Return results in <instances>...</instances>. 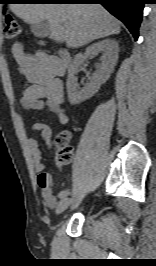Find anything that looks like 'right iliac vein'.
<instances>
[{
	"label": "right iliac vein",
	"mask_w": 156,
	"mask_h": 266,
	"mask_svg": "<svg viewBox=\"0 0 156 266\" xmlns=\"http://www.w3.org/2000/svg\"><path fill=\"white\" fill-rule=\"evenodd\" d=\"M71 204V200L69 198H64L62 199L59 204L57 205V208H56V214H60L62 213L63 211H65L69 205Z\"/></svg>",
	"instance_id": "right-iliac-vein-1"
}]
</instances>
